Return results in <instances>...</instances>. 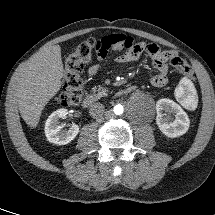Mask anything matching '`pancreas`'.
I'll return each instance as SVG.
<instances>
[{
  "label": "pancreas",
  "instance_id": "obj_1",
  "mask_svg": "<svg viewBox=\"0 0 215 215\" xmlns=\"http://www.w3.org/2000/svg\"><path fill=\"white\" fill-rule=\"evenodd\" d=\"M92 91H93V93H96V92H97L96 96H97L98 98L103 97V96H106L107 93H108V89H107V88H104V87H101V86H98V87L95 86V87H93V88H92Z\"/></svg>",
  "mask_w": 215,
  "mask_h": 215
}]
</instances>
